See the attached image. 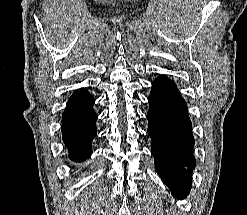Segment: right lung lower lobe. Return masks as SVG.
<instances>
[{
	"label": "right lung lower lobe",
	"mask_w": 247,
	"mask_h": 215,
	"mask_svg": "<svg viewBox=\"0 0 247 215\" xmlns=\"http://www.w3.org/2000/svg\"><path fill=\"white\" fill-rule=\"evenodd\" d=\"M94 101L85 89H79L69 98L62 114V138L73 161H83L91 154L92 140L97 135Z\"/></svg>",
	"instance_id": "right-lung-lower-lobe-1"
}]
</instances>
